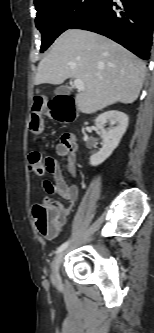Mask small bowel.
<instances>
[{
  "mask_svg": "<svg viewBox=\"0 0 154 333\" xmlns=\"http://www.w3.org/2000/svg\"><path fill=\"white\" fill-rule=\"evenodd\" d=\"M78 145L73 135L64 134L61 137L60 142L56 145V153L63 158V170L66 175L71 179L77 178L76 170V155ZM46 170L53 177V182L44 181L43 188L49 194H55L65 201L73 204L79 194L78 187L74 184H68L65 180L62 172V168L58 161L53 157H45ZM57 206L64 210L65 215H68L70 208H65L61 203H57Z\"/></svg>",
  "mask_w": 154,
  "mask_h": 333,
  "instance_id": "1",
  "label": "small bowel"
}]
</instances>
